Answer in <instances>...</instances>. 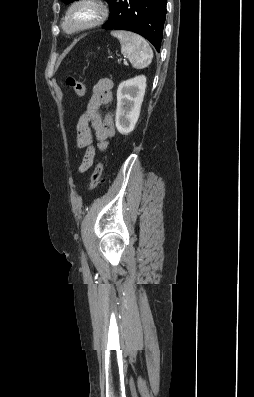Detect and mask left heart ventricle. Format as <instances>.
Instances as JSON below:
<instances>
[{"mask_svg": "<svg viewBox=\"0 0 254 397\" xmlns=\"http://www.w3.org/2000/svg\"><path fill=\"white\" fill-rule=\"evenodd\" d=\"M92 14H93V11L91 9L83 8L77 13L76 17L78 20H83V19H87L90 16H92Z\"/></svg>", "mask_w": 254, "mask_h": 397, "instance_id": "left-heart-ventricle-1", "label": "left heart ventricle"}]
</instances>
